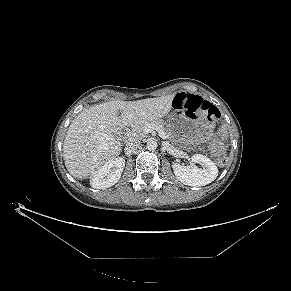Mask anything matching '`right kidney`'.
Returning <instances> with one entry per match:
<instances>
[{
	"instance_id": "right-kidney-1",
	"label": "right kidney",
	"mask_w": 291,
	"mask_h": 291,
	"mask_svg": "<svg viewBox=\"0 0 291 291\" xmlns=\"http://www.w3.org/2000/svg\"><path fill=\"white\" fill-rule=\"evenodd\" d=\"M125 167L122 157L111 159L93 173L91 186L96 189H105L116 184Z\"/></svg>"
}]
</instances>
